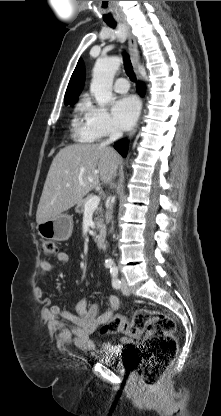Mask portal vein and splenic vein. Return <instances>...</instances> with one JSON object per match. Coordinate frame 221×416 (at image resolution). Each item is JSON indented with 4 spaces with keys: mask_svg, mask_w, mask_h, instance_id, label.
<instances>
[{
    "mask_svg": "<svg viewBox=\"0 0 221 416\" xmlns=\"http://www.w3.org/2000/svg\"><path fill=\"white\" fill-rule=\"evenodd\" d=\"M99 203H100V197L94 195L85 203L84 212L87 213V212L94 211L98 207Z\"/></svg>",
    "mask_w": 221,
    "mask_h": 416,
    "instance_id": "obj_1",
    "label": "portal vein and splenic vein"
}]
</instances>
